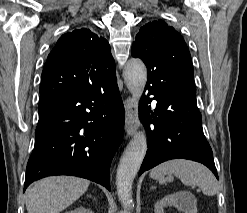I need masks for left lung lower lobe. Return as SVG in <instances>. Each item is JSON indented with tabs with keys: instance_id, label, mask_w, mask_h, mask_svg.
I'll use <instances>...</instances> for the list:
<instances>
[{
	"instance_id": "left-lung-lower-lobe-1",
	"label": "left lung lower lobe",
	"mask_w": 247,
	"mask_h": 213,
	"mask_svg": "<svg viewBox=\"0 0 247 213\" xmlns=\"http://www.w3.org/2000/svg\"><path fill=\"white\" fill-rule=\"evenodd\" d=\"M147 79L148 93L140 101V116L149 140L139 175L164 161L182 158L206 165L218 179L212 149L202 129L195 86L178 74L163 81L155 76ZM153 99L157 104L151 111L148 104Z\"/></svg>"
}]
</instances>
